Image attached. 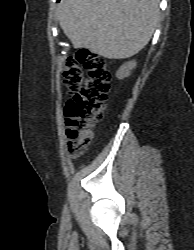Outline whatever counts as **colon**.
<instances>
[{"instance_id": "5ec220e1", "label": "colon", "mask_w": 194, "mask_h": 250, "mask_svg": "<svg viewBox=\"0 0 194 250\" xmlns=\"http://www.w3.org/2000/svg\"><path fill=\"white\" fill-rule=\"evenodd\" d=\"M110 72L101 56L82 49L63 65V84L68 91L65 107L68 151L72 158L85 153L92 130L101 121L109 91Z\"/></svg>"}]
</instances>
